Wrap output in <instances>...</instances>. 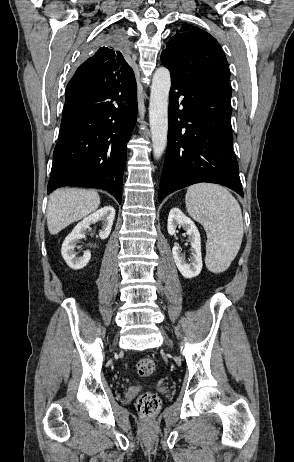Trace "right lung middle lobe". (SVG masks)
<instances>
[{
  "label": "right lung middle lobe",
  "instance_id": "1",
  "mask_svg": "<svg viewBox=\"0 0 294 462\" xmlns=\"http://www.w3.org/2000/svg\"><path fill=\"white\" fill-rule=\"evenodd\" d=\"M124 43V37L118 29L109 30L102 33L93 43V48L105 46H121Z\"/></svg>",
  "mask_w": 294,
  "mask_h": 462
}]
</instances>
